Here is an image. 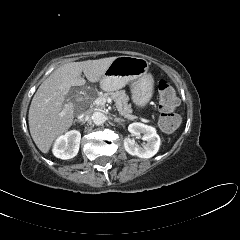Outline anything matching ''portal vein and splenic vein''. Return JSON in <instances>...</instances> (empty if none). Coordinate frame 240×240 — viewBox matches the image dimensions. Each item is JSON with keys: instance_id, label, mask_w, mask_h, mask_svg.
Listing matches in <instances>:
<instances>
[{"instance_id": "portal-vein-and-splenic-vein-1", "label": "portal vein and splenic vein", "mask_w": 240, "mask_h": 240, "mask_svg": "<svg viewBox=\"0 0 240 240\" xmlns=\"http://www.w3.org/2000/svg\"><path fill=\"white\" fill-rule=\"evenodd\" d=\"M106 102H111V99H105L104 97L96 98L93 103L97 105H104ZM63 114V112H62Z\"/></svg>"}]
</instances>
